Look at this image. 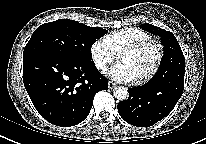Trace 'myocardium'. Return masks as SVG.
Returning a JSON list of instances; mask_svg holds the SVG:
<instances>
[{"instance_id": "f54148a6", "label": "myocardium", "mask_w": 206, "mask_h": 144, "mask_svg": "<svg viewBox=\"0 0 206 144\" xmlns=\"http://www.w3.org/2000/svg\"><path fill=\"white\" fill-rule=\"evenodd\" d=\"M148 47H153L155 49L156 51L155 61L152 68L149 70L147 74H145L139 79L134 80V83L137 85H141L150 81L157 74L164 57L163 45L157 40L149 39L136 44L128 45L123 49H121L120 52L118 53V58H119L120 55L122 54L137 53Z\"/></svg>"}]
</instances>
